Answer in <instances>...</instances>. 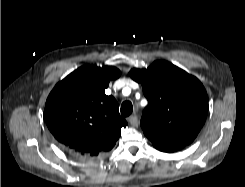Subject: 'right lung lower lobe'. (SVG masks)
Here are the masks:
<instances>
[{
  "label": "right lung lower lobe",
  "mask_w": 245,
  "mask_h": 187,
  "mask_svg": "<svg viewBox=\"0 0 245 187\" xmlns=\"http://www.w3.org/2000/svg\"><path fill=\"white\" fill-rule=\"evenodd\" d=\"M67 149V148H66ZM68 150V149H67ZM71 154H73L74 156H76V157H78V158H83V159H88L87 157H84V156H80L79 154H77V153H74V152H72V151H70V150H68Z\"/></svg>",
  "instance_id": "1"
}]
</instances>
